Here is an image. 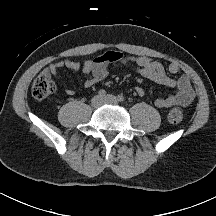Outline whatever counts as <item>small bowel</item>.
Instances as JSON below:
<instances>
[{
  "label": "small bowel",
  "mask_w": 216,
  "mask_h": 216,
  "mask_svg": "<svg viewBox=\"0 0 216 216\" xmlns=\"http://www.w3.org/2000/svg\"><path fill=\"white\" fill-rule=\"evenodd\" d=\"M116 65H132L141 76L157 84L177 88L175 94L156 99L157 108L185 107L194 100L195 94L186 75L177 79L168 75V73L179 72L180 68L177 63H171L166 71L161 63L143 55L130 56L118 51H107L95 58L85 60L83 64L70 59L57 61L52 63L46 71L55 78L59 77L65 67L81 72L84 75V87L90 88L101 82L108 75L109 69ZM63 90L67 95L75 93L74 89L67 86H63ZM135 91L138 95L144 94V89L140 86H136Z\"/></svg>",
  "instance_id": "c3829d8e"
}]
</instances>
